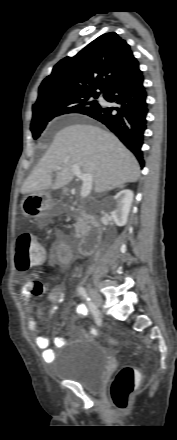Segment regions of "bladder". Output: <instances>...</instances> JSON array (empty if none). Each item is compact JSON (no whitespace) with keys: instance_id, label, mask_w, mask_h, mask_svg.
I'll use <instances>...</instances> for the list:
<instances>
[{"instance_id":"31cf9c89","label":"bladder","mask_w":177,"mask_h":440,"mask_svg":"<svg viewBox=\"0 0 177 440\" xmlns=\"http://www.w3.org/2000/svg\"><path fill=\"white\" fill-rule=\"evenodd\" d=\"M66 347L69 352L58 361L54 375L74 381L86 390H99L108 370L106 350L94 339L79 340Z\"/></svg>"}]
</instances>
